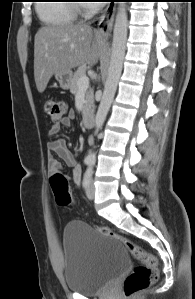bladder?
<instances>
[{"instance_id":"31cf9c89","label":"bladder","mask_w":195,"mask_h":299,"mask_svg":"<svg viewBox=\"0 0 195 299\" xmlns=\"http://www.w3.org/2000/svg\"><path fill=\"white\" fill-rule=\"evenodd\" d=\"M64 280L69 291L93 295L129 266L120 242L84 222H69L63 233Z\"/></svg>"}]
</instances>
